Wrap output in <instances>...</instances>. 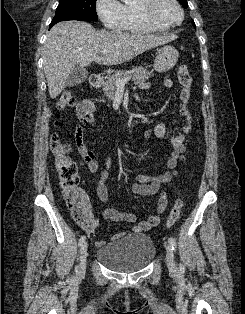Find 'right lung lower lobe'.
Here are the masks:
<instances>
[{"mask_svg":"<svg viewBox=\"0 0 245 314\" xmlns=\"http://www.w3.org/2000/svg\"><path fill=\"white\" fill-rule=\"evenodd\" d=\"M53 26V24H50V28Z\"/></svg>","mask_w":245,"mask_h":314,"instance_id":"1","label":"right lung lower lobe"}]
</instances>
